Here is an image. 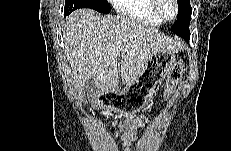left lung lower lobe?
<instances>
[{
    "mask_svg": "<svg viewBox=\"0 0 231 151\" xmlns=\"http://www.w3.org/2000/svg\"><path fill=\"white\" fill-rule=\"evenodd\" d=\"M189 38H190V35H188L187 37H184V39L186 40H189Z\"/></svg>",
    "mask_w": 231,
    "mask_h": 151,
    "instance_id": "obj_1",
    "label": "left lung lower lobe"
}]
</instances>
